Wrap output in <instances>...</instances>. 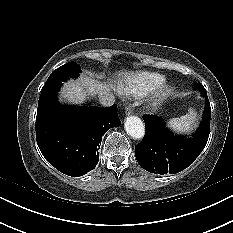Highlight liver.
Instances as JSON below:
<instances>
[{"label": "liver", "instance_id": "6515ba94", "mask_svg": "<svg viewBox=\"0 0 233 233\" xmlns=\"http://www.w3.org/2000/svg\"><path fill=\"white\" fill-rule=\"evenodd\" d=\"M118 76L127 79L130 77L129 72L126 71L118 73ZM111 88L110 84L102 83L83 75L80 80H70L64 84L61 90V98H64L69 103L81 104L85 101L87 95L94 96L109 92Z\"/></svg>", "mask_w": 233, "mask_h": 233}]
</instances>
